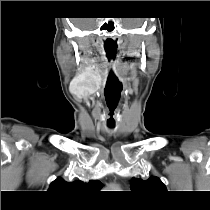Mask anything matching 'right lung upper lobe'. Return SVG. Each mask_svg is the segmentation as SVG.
I'll use <instances>...</instances> for the list:
<instances>
[{"mask_svg": "<svg viewBox=\"0 0 210 210\" xmlns=\"http://www.w3.org/2000/svg\"><path fill=\"white\" fill-rule=\"evenodd\" d=\"M102 187L100 181H89V183H83L79 180L74 182H66L63 178H57L54 180L49 188V191L57 194H67L71 191H75L83 188L100 189Z\"/></svg>", "mask_w": 210, "mask_h": 210, "instance_id": "obj_1", "label": "right lung upper lobe"}]
</instances>
